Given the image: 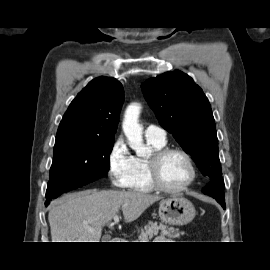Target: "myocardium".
I'll return each instance as SVG.
<instances>
[{
	"mask_svg": "<svg viewBox=\"0 0 270 270\" xmlns=\"http://www.w3.org/2000/svg\"><path fill=\"white\" fill-rule=\"evenodd\" d=\"M171 153H178L182 155L187 161L190 169V177L188 181L175 188L164 185L159 175L160 162L164 157ZM147 172L149 181L154 189L170 194H177L187 190L194 183L197 177V170L192 156L186 150L180 147H163L158 150H154L147 159Z\"/></svg>",
	"mask_w": 270,
	"mask_h": 270,
	"instance_id": "1",
	"label": "myocardium"
}]
</instances>
